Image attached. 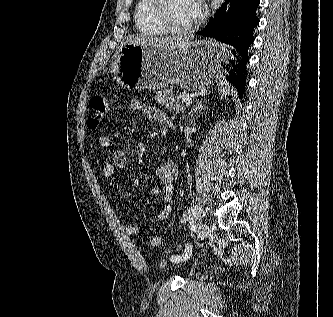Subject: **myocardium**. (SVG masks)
Wrapping results in <instances>:
<instances>
[{"label":"myocardium","instance_id":"f54148a6","mask_svg":"<svg viewBox=\"0 0 333 317\" xmlns=\"http://www.w3.org/2000/svg\"><path fill=\"white\" fill-rule=\"evenodd\" d=\"M151 13L156 21V23L169 34L177 35V36H186L197 30L200 25V17L196 19V21L189 27L186 28H178L174 26L166 16V4L167 0H151Z\"/></svg>","mask_w":333,"mask_h":317}]
</instances>
